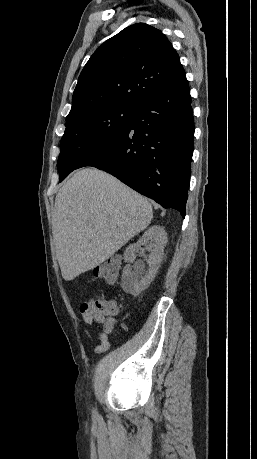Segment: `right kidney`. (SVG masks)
I'll return each instance as SVG.
<instances>
[{
    "mask_svg": "<svg viewBox=\"0 0 257 459\" xmlns=\"http://www.w3.org/2000/svg\"><path fill=\"white\" fill-rule=\"evenodd\" d=\"M166 243L167 234L165 230L159 225H154L148 228L136 243L130 244L126 248L124 260L128 265L123 269L121 283V287L126 293L137 296L148 288L160 268ZM141 246H147L151 251L147 259L149 268L145 271L144 265H137L132 271L130 263L134 262L136 253Z\"/></svg>",
    "mask_w": 257,
    "mask_h": 459,
    "instance_id": "right-kidney-1",
    "label": "right kidney"
}]
</instances>
